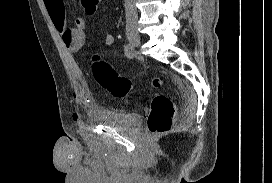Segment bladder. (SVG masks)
Here are the masks:
<instances>
[{
	"label": "bladder",
	"instance_id": "1",
	"mask_svg": "<svg viewBox=\"0 0 272 183\" xmlns=\"http://www.w3.org/2000/svg\"><path fill=\"white\" fill-rule=\"evenodd\" d=\"M138 120L139 116L135 112H109L103 118L105 124L121 129L135 128Z\"/></svg>",
	"mask_w": 272,
	"mask_h": 183
}]
</instances>
